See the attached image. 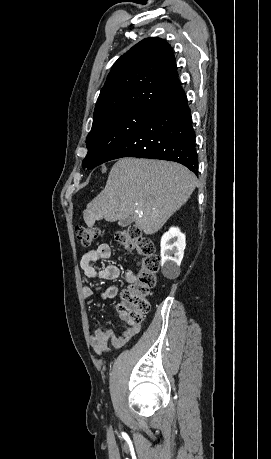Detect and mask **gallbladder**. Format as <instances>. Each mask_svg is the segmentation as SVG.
Instances as JSON below:
<instances>
[{
    "label": "gallbladder",
    "mask_w": 271,
    "mask_h": 459,
    "mask_svg": "<svg viewBox=\"0 0 271 459\" xmlns=\"http://www.w3.org/2000/svg\"><path fill=\"white\" fill-rule=\"evenodd\" d=\"M132 224L131 218H125V220H119L118 226H122V228H125V226H130Z\"/></svg>",
    "instance_id": "bac80fb5"
}]
</instances>
